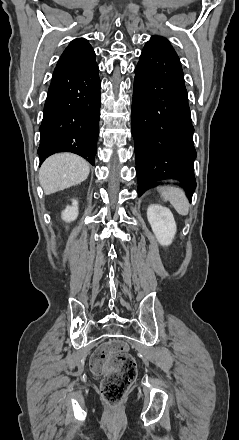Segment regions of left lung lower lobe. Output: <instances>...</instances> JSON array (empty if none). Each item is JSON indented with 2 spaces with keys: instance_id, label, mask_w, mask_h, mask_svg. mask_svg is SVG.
Listing matches in <instances>:
<instances>
[{
  "instance_id": "0a47b994",
  "label": "left lung lower lobe",
  "mask_w": 239,
  "mask_h": 440,
  "mask_svg": "<svg viewBox=\"0 0 239 440\" xmlns=\"http://www.w3.org/2000/svg\"><path fill=\"white\" fill-rule=\"evenodd\" d=\"M131 119L138 195L154 181L176 179L191 200L196 188L194 128L175 51L143 48L135 68Z\"/></svg>"
}]
</instances>
